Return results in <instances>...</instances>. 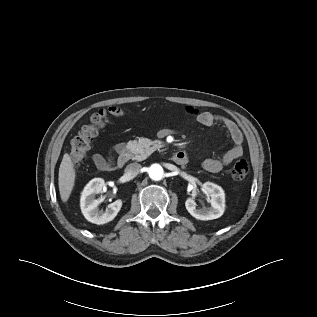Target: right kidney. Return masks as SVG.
<instances>
[{
	"label": "right kidney",
	"mask_w": 317,
	"mask_h": 317,
	"mask_svg": "<svg viewBox=\"0 0 317 317\" xmlns=\"http://www.w3.org/2000/svg\"><path fill=\"white\" fill-rule=\"evenodd\" d=\"M104 180L102 178L92 179L81 193L80 207L84 217L94 224H105L112 221L122 207V201L116 200L108 205L106 211L99 210L100 199L95 195L102 191Z\"/></svg>",
	"instance_id": "obj_1"
}]
</instances>
